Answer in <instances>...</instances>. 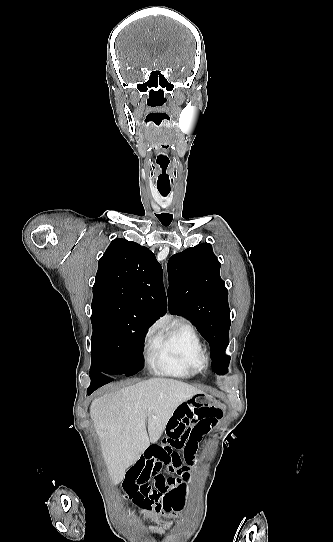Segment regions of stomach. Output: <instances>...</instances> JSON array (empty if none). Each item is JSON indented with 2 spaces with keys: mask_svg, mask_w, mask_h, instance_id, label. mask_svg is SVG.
<instances>
[{
  "mask_svg": "<svg viewBox=\"0 0 333 542\" xmlns=\"http://www.w3.org/2000/svg\"><path fill=\"white\" fill-rule=\"evenodd\" d=\"M186 400H202L203 404H214L216 402V398L214 396H211V394H199V396L195 397H188Z\"/></svg>",
  "mask_w": 333,
  "mask_h": 542,
  "instance_id": "0dacf381",
  "label": "stomach"
}]
</instances>
